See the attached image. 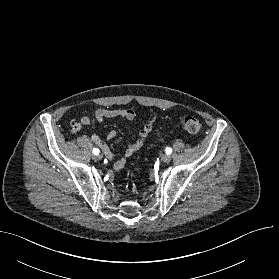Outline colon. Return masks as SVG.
<instances>
[{"instance_id": "1", "label": "colon", "mask_w": 279, "mask_h": 279, "mask_svg": "<svg viewBox=\"0 0 279 279\" xmlns=\"http://www.w3.org/2000/svg\"><path fill=\"white\" fill-rule=\"evenodd\" d=\"M182 129L191 134H199L203 129V122L195 117L187 116L180 121Z\"/></svg>"}]
</instances>
